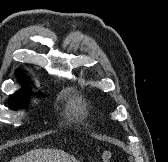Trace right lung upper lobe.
I'll use <instances>...</instances> for the list:
<instances>
[{
  "label": "right lung upper lobe",
  "mask_w": 168,
  "mask_h": 162,
  "mask_svg": "<svg viewBox=\"0 0 168 162\" xmlns=\"http://www.w3.org/2000/svg\"><path fill=\"white\" fill-rule=\"evenodd\" d=\"M16 76H17L18 78H23V80H25V81H28V80H29V78L25 75V73H24L21 69H18V70L16 71Z\"/></svg>",
  "instance_id": "right-lung-upper-lobe-1"
}]
</instances>
